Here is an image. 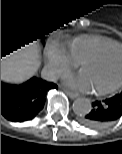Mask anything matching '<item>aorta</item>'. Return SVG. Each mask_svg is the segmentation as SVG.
I'll list each match as a JSON object with an SVG mask.
<instances>
[{
	"label": "aorta",
	"mask_w": 122,
	"mask_h": 154,
	"mask_svg": "<svg viewBox=\"0 0 122 154\" xmlns=\"http://www.w3.org/2000/svg\"><path fill=\"white\" fill-rule=\"evenodd\" d=\"M72 108L75 114L83 116L91 111L92 105L89 99L79 97L73 102Z\"/></svg>",
	"instance_id": "762f6f07"
}]
</instances>
